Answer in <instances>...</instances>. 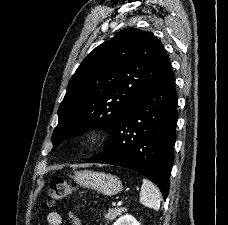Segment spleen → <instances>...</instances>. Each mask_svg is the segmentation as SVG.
I'll return each mask as SVG.
<instances>
[{
	"mask_svg": "<svg viewBox=\"0 0 228 225\" xmlns=\"http://www.w3.org/2000/svg\"><path fill=\"white\" fill-rule=\"evenodd\" d=\"M161 201V193L153 183L143 179V185L141 187L140 193V203L149 207V209H154V211H159Z\"/></svg>",
	"mask_w": 228,
	"mask_h": 225,
	"instance_id": "spleen-1",
	"label": "spleen"
}]
</instances>
